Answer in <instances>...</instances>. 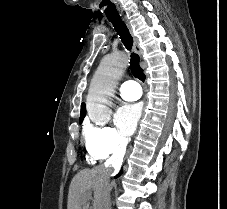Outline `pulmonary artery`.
<instances>
[{"label":"pulmonary artery","instance_id":"e3ab8cb5","mask_svg":"<svg viewBox=\"0 0 227 209\" xmlns=\"http://www.w3.org/2000/svg\"><path fill=\"white\" fill-rule=\"evenodd\" d=\"M140 93L139 84H122L119 88V95L126 101L137 100L140 97Z\"/></svg>","mask_w":227,"mask_h":209}]
</instances>
